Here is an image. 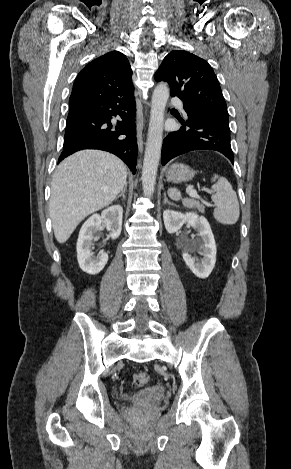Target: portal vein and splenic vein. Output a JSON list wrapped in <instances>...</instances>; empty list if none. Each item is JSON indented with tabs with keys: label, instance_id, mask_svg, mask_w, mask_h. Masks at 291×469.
Here are the masks:
<instances>
[{
	"label": "portal vein and splenic vein",
	"instance_id": "obj_1",
	"mask_svg": "<svg viewBox=\"0 0 291 469\" xmlns=\"http://www.w3.org/2000/svg\"><path fill=\"white\" fill-rule=\"evenodd\" d=\"M188 194H189V196H191V197H198L197 191L194 190V189H190V190L188 191ZM208 206H211V205L208 204Z\"/></svg>",
	"mask_w": 291,
	"mask_h": 469
}]
</instances>
